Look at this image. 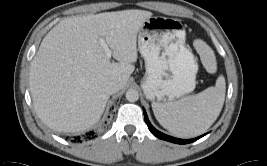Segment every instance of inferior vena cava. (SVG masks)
<instances>
[{"label":"inferior vena cava","instance_id":"602c4592","mask_svg":"<svg viewBox=\"0 0 267 166\" xmlns=\"http://www.w3.org/2000/svg\"><path fill=\"white\" fill-rule=\"evenodd\" d=\"M105 89L108 94H114L119 91V85L116 82H108L105 86Z\"/></svg>","mask_w":267,"mask_h":166}]
</instances>
